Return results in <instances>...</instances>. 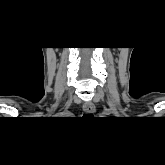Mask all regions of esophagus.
Here are the masks:
<instances>
[{
	"instance_id": "1",
	"label": "esophagus",
	"mask_w": 165,
	"mask_h": 165,
	"mask_svg": "<svg viewBox=\"0 0 165 165\" xmlns=\"http://www.w3.org/2000/svg\"><path fill=\"white\" fill-rule=\"evenodd\" d=\"M83 111L87 114H92L95 112V105L92 102H86L83 105Z\"/></svg>"
}]
</instances>
